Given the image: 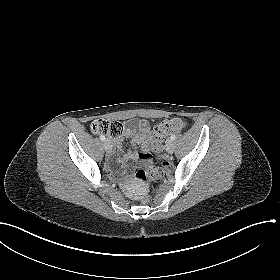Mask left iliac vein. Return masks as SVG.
Wrapping results in <instances>:
<instances>
[{
	"label": "left iliac vein",
	"mask_w": 280,
	"mask_h": 280,
	"mask_svg": "<svg viewBox=\"0 0 280 280\" xmlns=\"http://www.w3.org/2000/svg\"><path fill=\"white\" fill-rule=\"evenodd\" d=\"M174 142L172 140H169L166 144V150L169 154H172L174 152Z\"/></svg>",
	"instance_id": "left-iliac-vein-1"
}]
</instances>
